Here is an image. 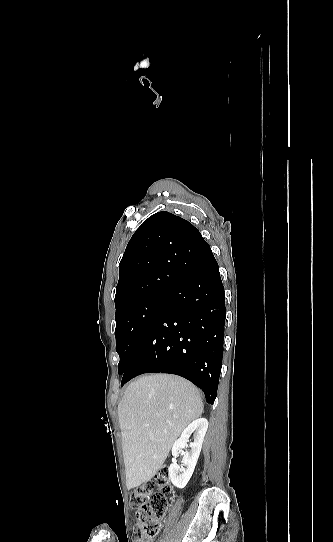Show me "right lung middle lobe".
<instances>
[{
  "mask_svg": "<svg viewBox=\"0 0 333 542\" xmlns=\"http://www.w3.org/2000/svg\"><path fill=\"white\" fill-rule=\"evenodd\" d=\"M168 292L154 294L138 304L121 309L115 316L116 351L119 374L128 367L149 323L167 300Z\"/></svg>",
  "mask_w": 333,
  "mask_h": 542,
  "instance_id": "dd1d6c3e",
  "label": "right lung middle lobe"
}]
</instances>
